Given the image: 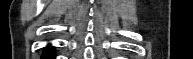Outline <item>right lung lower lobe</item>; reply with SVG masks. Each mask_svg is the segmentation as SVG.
Listing matches in <instances>:
<instances>
[{"label": "right lung lower lobe", "instance_id": "obj_1", "mask_svg": "<svg viewBox=\"0 0 193 59\" xmlns=\"http://www.w3.org/2000/svg\"><path fill=\"white\" fill-rule=\"evenodd\" d=\"M54 50L51 47L46 48L43 53L42 59H54Z\"/></svg>", "mask_w": 193, "mask_h": 59}]
</instances>
